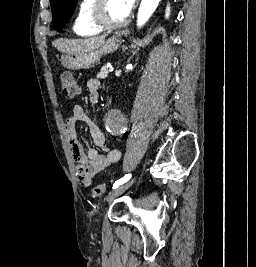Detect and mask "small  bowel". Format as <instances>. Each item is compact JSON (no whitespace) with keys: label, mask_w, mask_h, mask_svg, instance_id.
I'll return each mask as SVG.
<instances>
[{"label":"small bowel","mask_w":256,"mask_h":267,"mask_svg":"<svg viewBox=\"0 0 256 267\" xmlns=\"http://www.w3.org/2000/svg\"><path fill=\"white\" fill-rule=\"evenodd\" d=\"M100 88L101 83L98 79L88 80L87 90L89 102L92 106L96 105L99 100ZM79 121L87 125L94 145L101 149L103 151L102 153L96 148L84 147L83 140L77 130V123ZM64 128L74 161L76 162V174L83 186H90L94 176L98 172L120 160V151L106 145L103 132L81 106H74L72 112L65 121Z\"/></svg>","instance_id":"c3829d8e"}]
</instances>
